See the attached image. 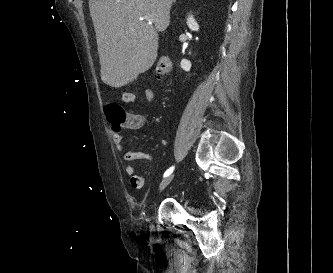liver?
<instances>
[{
    "mask_svg": "<svg viewBox=\"0 0 333 273\" xmlns=\"http://www.w3.org/2000/svg\"><path fill=\"white\" fill-rule=\"evenodd\" d=\"M174 0H89L101 80L122 87L152 67ZM151 19V24L145 17Z\"/></svg>",
    "mask_w": 333,
    "mask_h": 273,
    "instance_id": "6515ba94",
    "label": "liver"
}]
</instances>
